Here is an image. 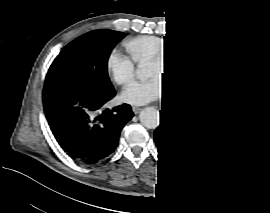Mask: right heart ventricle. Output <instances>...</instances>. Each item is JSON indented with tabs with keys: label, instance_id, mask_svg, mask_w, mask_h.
Instances as JSON below:
<instances>
[{
	"label": "right heart ventricle",
	"instance_id": "right-heart-ventricle-1",
	"mask_svg": "<svg viewBox=\"0 0 270 213\" xmlns=\"http://www.w3.org/2000/svg\"><path fill=\"white\" fill-rule=\"evenodd\" d=\"M170 43L164 37L154 35L142 36L135 39L129 45V51L134 61L143 62L144 60L150 61L154 56H158L160 52L166 50ZM177 48V45H173Z\"/></svg>",
	"mask_w": 270,
	"mask_h": 213
}]
</instances>
